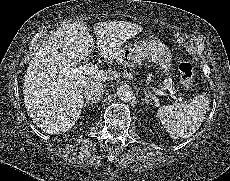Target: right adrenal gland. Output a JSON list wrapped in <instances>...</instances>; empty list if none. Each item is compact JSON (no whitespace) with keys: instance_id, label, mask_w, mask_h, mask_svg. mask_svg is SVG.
Instances as JSON below:
<instances>
[{"instance_id":"1","label":"right adrenal gland","mask_w":230,"mask_h":181,"mask_svg":"<svg viewBox=\"0 0 230 181\" xmlns=\"http://www.w3.org/2000/svg\"><path fill=\"white\" fill-rule=\"evenodd\" d=\"M99 101V100H98ZM97 100L96 101H87L85 102L84 104V107H88L89 105H91L92 107H95L96 106V103L98 102Z\"/></svg>"}]
</instances>
